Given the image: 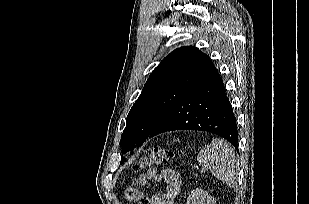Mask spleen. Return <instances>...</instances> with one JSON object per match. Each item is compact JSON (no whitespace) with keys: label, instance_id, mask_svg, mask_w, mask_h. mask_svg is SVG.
Here are the masks:
<instances>
[{"label":"spleen","instance_id":"spleen-1","mask_svg":"<svg viewBox=\"0 0 309 204\" xmlns=\"http://www.w3.org/2000/svg\"><path fill=\"white\" fill-rule=\"evenodd\" d=\"M197 160L207 167L211 174L228 186H235L239 162L232 147L222 139H213L197 155Z\"/></svg>","mask_w":309,"mask_h":204}]
</instances>
